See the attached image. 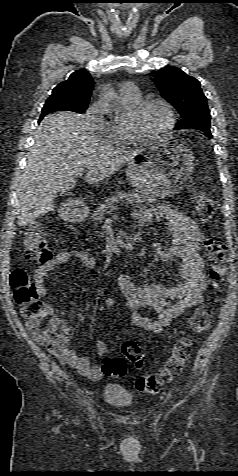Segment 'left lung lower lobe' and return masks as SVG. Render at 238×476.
Masks as SVG:
<instances>
[{
    "instance_id": "1",
    "label": "left lung lower lobe",
    "mask_w": 238,
    "mask_h": 476,
    "mask_svg": "<svg viewBox=\"0 0 238 476\" xmlns=\"http://www.w3.org/2000/svg\"><path fill=\"white\" fill-rule=\"evenodd\" d=\"M198 130H201L203 131L204 133H206V135L208 136V138H212V134H211V131L209 129H198Z\"/></svg>"
}]
</instances>
